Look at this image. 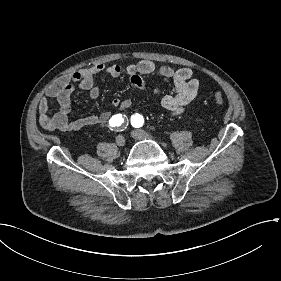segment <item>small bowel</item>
<instances>
[{
    "instance_id": "small-bowel-1",
    "label": "small bowel",
    "mask_w": 281,
    "mask_h": 281,
    "mask_svg": "<svg viewBox=\"0 0 281 281\" xmlns=\"http://www.w3.org/2000/svg\"><path fill=\"white\" fill-rule=\"evenodd\" d=\"M125 72L131 85L136 89H144L143 75L158 73L160 76L173 80L174 94L160 97L161 107L173 116L182 114L197 99L199 81L188 68L173 69L169 66L157 68L150 60H143L136 64H129L123 69L119 65L107 66L99 63L90 68L76 71L60 77L47 91L46 97L39 101V122L48 131H79L83 128L105 124L111 117L110 111H103L98 115H90L77 119H69L71 111V96L76 89L86 90L93 100L100 95L99 88L94 84V78L98 74H107L113 78H119ZM51 99H56L59 105L57 112L53 111ZM115 109L125 111L131 106V98H114L111 102Z\"/></svg>"
}]
</instances>
